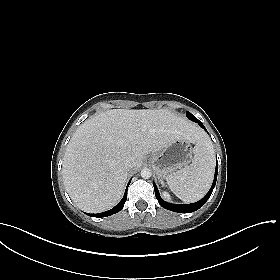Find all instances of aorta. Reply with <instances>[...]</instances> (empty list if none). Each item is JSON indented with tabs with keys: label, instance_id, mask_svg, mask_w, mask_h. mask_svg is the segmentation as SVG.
<instances>
[{
	"label": "aorta",
	"instance_id": "aorta-1",
	"mask_svg": "<svg viewBox=\"0 0 280 280\" xmlns=\"http://www.w3.org/2000/svg\"><path fill=\"white\" fill-rule=\"evenodd\" d=\"M151 175H152V172L149 168H143L141 170V177L143 179H149L151 177Z\"/></svg>",
	"mask_w": 280,
	"mask_h": 280
}]
</instances>
